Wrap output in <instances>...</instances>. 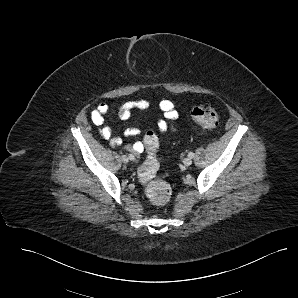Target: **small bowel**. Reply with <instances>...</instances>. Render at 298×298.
Returning <instances> with one entry per match:
<instances>
[{"label": "small bowel", "instance_id": "small-bowel-1", "mask_svg": "<svg viewBox=\"0 0 298 298\" xmlns=\"http://www.w3.org/2000/svg\"><path fill=\"white\" fill-rule=\"evenodd\" d=\"M151 106V102L147 99L127 101L120 106L118 115L120 119L128 120L134 110L144 111L150 109ZM158 107L163 113V118L157 122L158 130L161 133L173 131V125H170L168 122H174L179 116L174 103L170 100L164 99L159 102ZM108 111V104L100 103L91 112V120L98 127L100 135L104 139L109 140L112 147H117L122 144V139L120 137H114L113 130L109 126L104 125L105 115L108 113ZM124 134L125 136H136L140 134V129L137 127H129L125 129ZM143 149V144L140 141H136L132 145L128 146L129 151L137 154L141 153Z\"/></svg>", "mask_w": 298, "mask_h": 298}]
</instances>
